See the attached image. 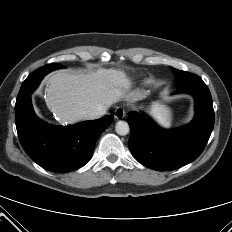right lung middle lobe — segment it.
<instances>
[{"label":"right lung middle lobe","instance_id":"right-lung-middle-lobe-1","mask_svg":"<svg viewBox=\"0 0 232 232\" xmlns=\"http://www.w3.org/2000/svg\"><path fill=\"white\" fill-rule=\"evenodd\" d=\"M61 67H63V66L58 64V63H52V64L45 65V66L37 69L35 72H33L23 83H30V82H33L35 80H40L48 72H50L54 69L61 68Z\"/></svg>","mask_w":232,"mask_h":232}]
</instances>
